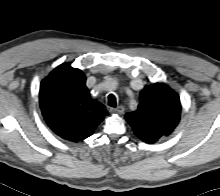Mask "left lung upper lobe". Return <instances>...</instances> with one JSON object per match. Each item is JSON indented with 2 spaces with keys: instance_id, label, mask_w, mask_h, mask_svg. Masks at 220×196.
<instances>
[{
  "instance_id": "5c2ea615",
  "label": "left lung upper lobe",
  "mask_w": 220,
  "mask_h": 196,
  "mask_svg": "<svg viewBox=\"0 0 220 196\" xmlns=\"http://www.w3.org/2000/svg\"><path fill=\"white\" fill-rule=\"evenodd\" d=\"M179 96L166 84L145 86L140 92V103L135 112L125 115L136 136L153 144L170 135L180 120Z\"/></svg>"
}]
</instances>
